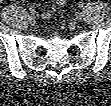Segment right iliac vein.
Here are the masks:
<instances>
[{
  "label": "right iliac vein",
  "mask_w": 111,
  "mask_h": 106,
  "mask_svg": "<svg viewBox=\"0 0 111 106\" xmlns=\"http://www.w3.org/2000/svg\"><path fill=\"white\" fill-rule=\"evenodd\" d=\"M29 23H30L31 25H35V24H36V17H35L34 15H31V16L29 17Z\"/></svg>",
  "instance_id": "right-iliac-vein-1"
}]
</instances>
